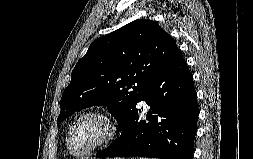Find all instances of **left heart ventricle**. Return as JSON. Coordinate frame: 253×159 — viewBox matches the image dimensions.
<instances>
[{"mask_svg": "<svg viewBox=\"0 0 253 159\" xmlns=\"http://www.w3.org/2000/svg\"><path fill=\"white\" fill-rule=\"evenodd\" d=\"M107 129V123L102 117L87 116L75 126L70 145L74 151L84 152L104 137Z\"/></svg>", "mask_w": 253, "mask_h": 159, "instance_id": "left-heart-ventricle-1", "label": "left heart ventricle"}]
</instances>
